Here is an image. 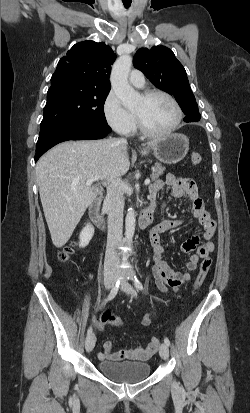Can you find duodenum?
Masks as SVG:
<instances>
[{
  "mask_svg": "<svg viewBox=\"0 0 250 413\" xmlns=\"http://www.w3.org/2000/svg\"><path fill=\"white\" fill-rule=\"evenodd\" d=\"M90 211L94 219V222L97 224V226L101 229H105L106 222L101 212V202L99 200L92 204ZM153 218L154 210L151 208L145 210L138 218L139 227L142 229L148 227L152 223Z\"/></svg>",
  "mask_w": 250,
  "mask_h": 413,
  "instance_id": "410a0bca",
  "label": "duodenum"
}]
</instances>
